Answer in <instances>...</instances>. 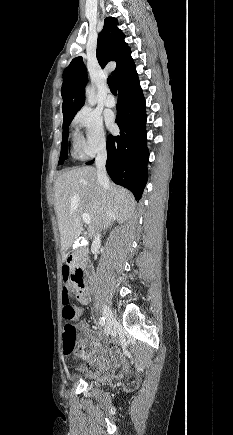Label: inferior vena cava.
<instances>
[{"label": "inferior vena cava", "mask_w": 233, "mask_h": 435, "mask_svg": "<svg viewBox=\"0 0 233 435\" xmlns=\"http://www.w3.org/2000/svg\"><path fill=\"white\" fill-rule=\"evenodd\" d=\"M106 159H107L106 148L102 147L99 150L97 157H96V160H95V165L97 168V176H98V179L102 182H105L108 179L106 168H105Z\"/></svg>", "instance_id": "602c4592"}]
</instances>
